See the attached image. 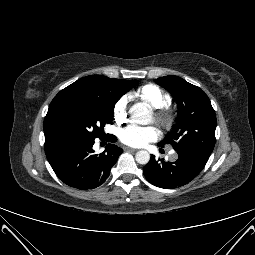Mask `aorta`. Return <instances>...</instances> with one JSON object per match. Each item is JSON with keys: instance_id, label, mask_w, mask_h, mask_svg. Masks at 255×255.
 Listing matches in <instances>:
<instances>
[{"instance_id": "762f6f07", "label": "aorta", "mask_w": 255, "mask_h": 255, "mask_svg": "<svg viewBox=\"0 0 255 255\" xmlns=\"http://www.w3.org/2000/svg\"><path fill=\"white\" fill-rule=\"evenodd\" d=\"M129 114L131 119L137 124L147 125L151 120L150 111L144 103L134 104L129 109ZM135 159L137 163L145 165L150 160V154L145 150H140L136 153Z\"/></svg>"}]
</instances>
